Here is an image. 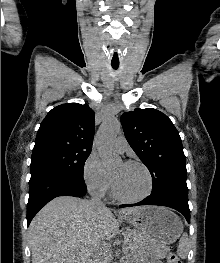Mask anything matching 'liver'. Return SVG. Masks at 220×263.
Listing matches in <instances>:
<instances>
[{"label":"liver","instance_id":"liver-1","mask_svg":"<svg viewBox=\"0 0 220 263\" xmlns=\"http://www.w3.org/2000/svg\"><path fill=\"white\" fill-rule=\"evenodd\" d=\"M143 208H124L116 219L107 207L72 196L57 197L29 226L32 263H95L106 253V241L116 235L119 223Z\"/></svg>","mask_w":220,"mask_h":263}]
</instances>
